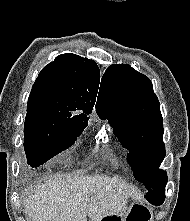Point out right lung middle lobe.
<instances>
[{
    "label": "right lung middle lobe",
    "instance_id": "right-lung-middle-lobe-1",
    "mask_svg": "<svg viewBox=\"0 0 190 221\" xmlns=\"http://www.w3.org/2000/svg\"><path fill=\"white\" fill-rule=\"evenodd\" d=\"M88 124V119H73L56 114L30 113L24 125L27 163L38 167L72 146Z\"/></svg>",
    "mask_w": 190,
    "mask_h": 221
}]
</instances>
